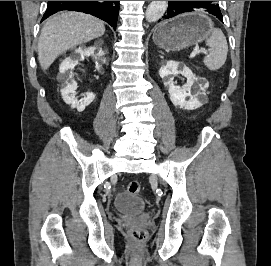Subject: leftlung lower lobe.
I'll return each mask as SVG.
<instances>
[{
	"label": "left lung lower lobe",
	"instance_id": "0a47b994",
	"mask_svg": "<svg viewBox=\"0 0 271 266\" xmlns=\"http://www.w3.org/2000/svg\"><path fill=\"white\" fill-rule=\"evenodd\" d=\"M195 10L208 12L223 22L218 1H169L167 13L163 16V19Z\"/></svg>",
	"mask_w": 271,
	"mask_h": 266
}]
</instances>
